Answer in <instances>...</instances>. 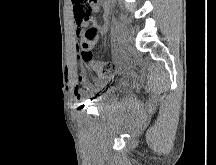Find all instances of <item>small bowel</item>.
<instances>
[{
  "label": "small bowel",
  "instance_id": "small-bowel-1",
  "mask_svg": "<svg viewBox=\"0 0 216 165\" xmlns=\"http://www.w3.org/2000/svg\"><path fill=\"white\" fill-rule=\"evenodd\" d=\"M73 5V17L76 24L75 36L80 42L85 40V29L89 26L90 22L93 23L94 27L99 29V34H104L107 30V9L105 11L104 22L102 25H98L95 20L91 18V14L98 12L100 9V0H92L91 2H75L72 0ZM81 13H90L88 18L82 17ZM99 37V36H98ZM98 37L91 42V47L97 42ZM81 81V80H79ZM74 94L77 99L81 97V91L76 88L74 89Z\"/></svg>",
  "mask_w": 216,
  "mask_h": 165
}]
</instances>
